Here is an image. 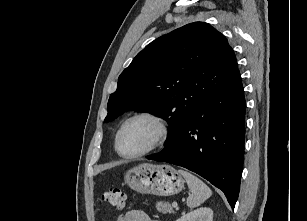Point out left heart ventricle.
Segmentation results:
<instances>
[{
	"mask_svg": "<svg viewBox=\"0 0 307 221\" xmlns=\"http://www.w3.org/2000/svg\"><path fill=\"white\" fill-rule=\"evenodd\" d=\"M157 133L155 125L147 119L130 122L120 137V150L125 154L139 153L150 146Z\"/></svg>",
	"mask_w": 307,
	"mask_h": 221,
	"instance_id": "1",
	"label": "left heart ventricle"
}]
</instances>
